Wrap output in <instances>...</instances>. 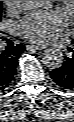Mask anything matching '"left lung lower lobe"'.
Here are the masks:
<instances>
[{
	"label": "left lung lower lobe",
	"instance_id": "1",
	"mask_svg": "<svg viewBox=\"0 0 74 122\" xmlns=\"http://www.w3.org/2000/svg\"><path fill=\"white\" fill-rule=\"evenodd\" d=\"M72 48H68L72 54L64 57L61 67L50 72L53 81L62 89L74 90V43Z\"/></svg>",
	"mask_w": 74,
	"mask_h": 122
}]
</instances>
